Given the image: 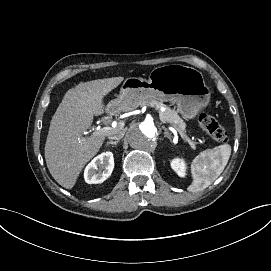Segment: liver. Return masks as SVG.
I'll use <instances>...</instances> for the list:
<instances>
[{"label":"liver","mask_w":271,"mask_h":271,"mask_svg":"<svg viewBox=\"0 0 271 271\" xmlns=\"http://www.w3.org/2000/svg\"><path fill=\"white\" fill-rule=\"evenodd\" d=\"M123 80L112 77L79 83L66 93L52 117L45 159L52 177L62 187L71 190L84 166L99 152L105 135L82 137V133L90 129L95 116L109 111L104 98Z\"/></svg>","instance_id":"6515ba94"}]
</instances>
